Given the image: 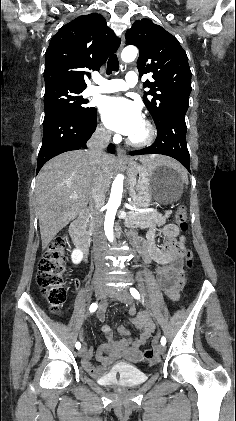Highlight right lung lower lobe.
Here are the masks:
<instances>
[{"instance_id":"obj_1","label":"right lung lower lobe","mask_w":236,"mask_h":421,"mask_svg":"<svg viewBox=\"0 0 236 421\" xmlns=\"http://www.w3.org/2000/svg\"><path fill=\"white\" fill-rule=\"evenodd\" d=\"M97 126V109L85 117L59 114L43 121V140L38 155L37 173L51 158L71 150L86 148V142ZM108 152L115 153L109 144ZM36 173V174H37Z\"/></svg>"}]
</instances>
